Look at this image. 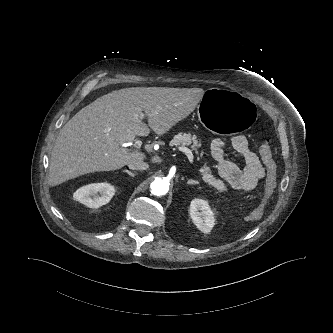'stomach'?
<instances>
[{
  "label": "stomach",
  "mask_w": 333,
  "mask_h": 333,
  "mask_svg": "<svg viewBox=\"0 0 333 333\" xmlns=\"http://www.w3.org/2000/svg\"><path fill=\"white\" fill-rule=\"evenodd\" d=\"M256 106L245 94L230 90H210L198 101L197 115L209 131L217 135H240L250 129Z\"/></svg>",
  "instance_id": "stomach-1"
}]
</instances>
